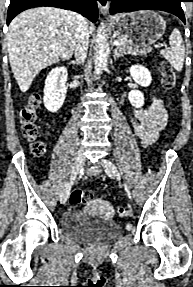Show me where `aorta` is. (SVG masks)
<instances>
[{"label": "aorta", "mask_w": 193, "mask_h": 287, "mask_svg": "<svg viewBox=\"0 0 193 287\" xmlns=\"http://www.w3.org/2000/svg\"><path fill=\"white\" fill-rule=\"evenodd\" d=\"M108 55H109V44L107 40V33L105 25L101 23L97 32L95 52H94V73L96 75H100L103 69L106 67Z\"/></svg>", "instance_id": "aorta-1"}]
</instances>
